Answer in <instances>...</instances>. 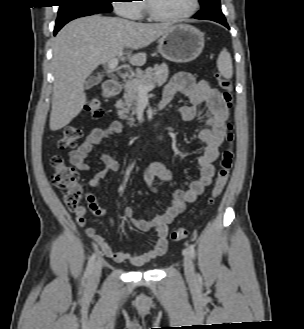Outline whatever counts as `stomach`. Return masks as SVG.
I'll return each mask as SVG.
<instances>
[{"mask_svg":"<svg viewBox=\"0 0 304 329\" xmlns=\"http://www.w3.org/2000/svg\"><path fill=\"white\" fill-rule=\"evenodd\" d=\"M160 54L171 62L187 63L196 59L204 48V35L197 28L177 24L159 39Z\"/></svg>","mask_w":304,"mask_h":329,"instance_id":"0dacf381","label":"stomach"}]
</instances>
